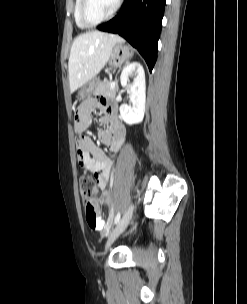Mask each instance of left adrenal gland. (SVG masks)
Wrapping results in <instances>:
<instances>
[{"label":"left adrenal gland","mask_w":247,"mask_h":304,"mask_svg":"<svg viewBox=\"0 0 247 304\" xmlns=\"http://www.w3.org/2000/svg\"><path fill=\"white\" fill-rule=\"evenodd\" d=\"M115 82H116V85L118 86L117 76L115 77Z\"/></svg>","instance_id":"a2214340"}]
</instances>
